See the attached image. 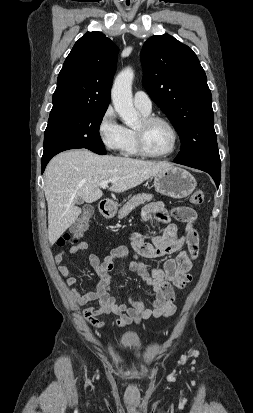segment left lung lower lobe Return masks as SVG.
I'll return each mask as SVG.
<instances>
[{
	"instance_id": "1",
	"label": "left lung lower lobe",
	"mask_w": 253,
	"mask_h": 413,
	"mask_svg": "<svg viewBox=\"0 0 253 413\" xmlns=\"http://www.w3.org/2000/svg\"><path fill=\"white\" fill-rule=\"evenodd\" d=\"M175 163L186 165L189 167H193L196 169H200L202 171H205L211 175L213 180L216 183L217 188L219 187L220 184V173H221V164H213V163H184V162H178L174 160Z\"/></svg>"
}]
</instances>
